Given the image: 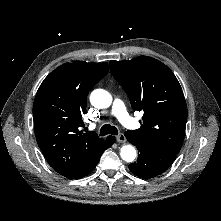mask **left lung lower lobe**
Here are the masks:
<instances>
[{
	"mask_svg": "<svg viewBox=\"0 0 221 221\" xmlns=\"http://www.w3.org/2000/svg\"><path fill=\"white\" fill-rule=\"evenodd\" d=\"M124 135L140 152L137 161L128 167L132 173L141 178L149 179L163 173L170 167L177 155V153L161 150L145 144L128 131H126Z\"/></svg>",
	"mask_w": 221,
	"mask_h": 221,
	"instance_id": "left-lung-lower-lobe-1",
	"label": "left lung lower lobe"
}]
</instances>
